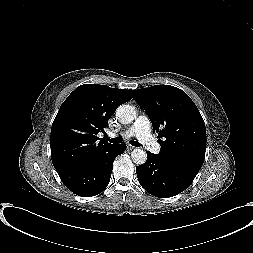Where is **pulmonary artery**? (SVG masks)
Here are the masks:
<instances>
[{
    "mask_svg": "<svg viewBox=\"0 0 253 253\" xmlns=\"http://www.w3.org/2000/svg\"><path fill=\"white\" fill-rule=\"evenodd\" d=\"M110 136L114 137L115 134L111 133ZM121 136L125 138L135 136L149 151L153 153H158L160 151L159 144L151 135L150 121L144 115L139 116L133 125L121 133Z\"/></svg>",
    "mask_w": 253,
    "mask_h": 253,
    "instance_id": "pulmonary-artery-1",
    "label": "pulmonary artery"
}]
</instances>
